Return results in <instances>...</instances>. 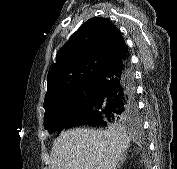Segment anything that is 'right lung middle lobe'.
I'll list each match as a JSON object with an SVG mask.
<instances>
[{
  "label": "right lung middle lobe",
  "instance_id": "dd1d6c3e",
  "mask_svg": "<svg viewBox=\"0 0 177 169\" xmlns=\"http://www.w3.org/2000/svg\"><path fill=\"white\" fill-rule=\"evenodd\" d=\"M94 81L74 90L61 102L53 103L45 108L44 128L49 133L57 131L71 118L80 114L92 102L95 95Z\"/></svg>",
  "mask_w": 177,
  "mask_h": 169
}]
</instances>
